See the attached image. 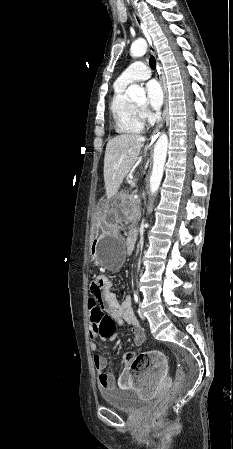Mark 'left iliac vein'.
<instances>
[{
	"label": "left iliac vein",
	"instance_id": "left-iliac-vein-1",
	"mask_svg": "<svg viewBox=\"0 0 233 449\" xmlns=\"http://www.w3.org/2000/svg\"><path fill=\"white\" fill-rule=\"evenodd\" d=\"M139 316L142 320H145V316L143 314V311L141 309V303L139 304V310H138Z\"/></svg>",
	"mask_w": 233,
	"mask_h": 449
}]
</instances>
